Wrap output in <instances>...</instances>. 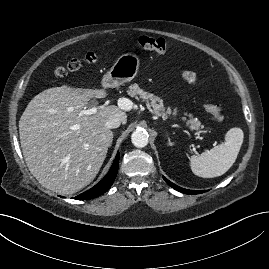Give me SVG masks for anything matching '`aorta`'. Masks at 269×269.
<instances>
[{"label":"aorta","mask_w":269,"mask_h":269,"mask_svg":"<svg viewBox=\"0 0 269 269\" xmlns=\"http://www.w3.org/2000/svg\"><path fill=\"white\" fill-rule=\"evenodd\" d=\"M148 133L145 130H135L131 135L132 144L138 148H143L148 144Z\"/></svg>","instance_id":"obj_1"}]
</instances>
